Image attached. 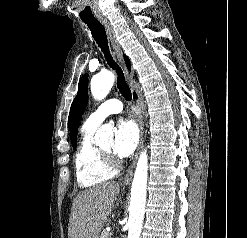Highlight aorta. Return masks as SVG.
Listing matches in <instances>:
<instances>
[{
	"label": "aorta",
	"mask_w": 247,
	"mask_h": 238,
	"mask_svg": "<svg viewBox=\"0 0 247 238\" xmlns=\"http://www.w3.org/2000/svg\"><path fill=\"white\" fill-rule=\"evenodd\" d=\"M115 77L111 72L94 76L91 80V93L97 100L104 99L111 90ZM113 130L109 125H102L95 134L96 143L111 142ZM148 177V156L143 151L138 159L131 188V201L129 206L128 238H140L145 204Z\"/></svg>",
	"instance_id": "obj_1"
}]
</instances>
